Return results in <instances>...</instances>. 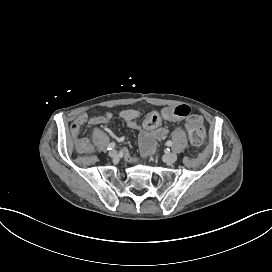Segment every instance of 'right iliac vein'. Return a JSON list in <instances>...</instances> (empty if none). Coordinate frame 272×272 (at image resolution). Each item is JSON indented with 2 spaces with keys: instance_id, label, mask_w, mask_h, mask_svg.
I'll list each match as a JSON object with an SVG mask.
<instances>
[{
  "instance_id": "obj_1",
  "label": "right iliac vein",
  "mask_w": 272,
  "mask_h": 272,
  "mask_svg": "<svg viewBox=\"0 0 272 272\" xmlns=\"http://www.w3.org/2000/svg\"><path fill=\"white\" fill-rule=\"evenodd\" d=\"M117 155H118V152L115 151V150H112V151L109 152V156L112 157V158L116 157Z\"/></svg>"
}]
</instances>
